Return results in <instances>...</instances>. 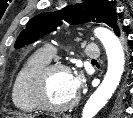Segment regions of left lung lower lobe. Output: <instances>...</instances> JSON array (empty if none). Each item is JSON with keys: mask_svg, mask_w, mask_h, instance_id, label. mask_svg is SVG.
Wrapping results in <instances>:
<instances>
[{"mask_svg": "<svg viewBox=\"0 0 133 118\" xmlns=\"http://www.w3.org/2000/svg\"><path fill=\"white\" fill-rule=\"evenodd\" d=\"M113 31L115 32V34H116L117 36H120V29H119L118 26H116V27L113 29Z\"/></svg>", "mask_w": 133, "mask_h": 118, "instance_id": "0a47b994", "label": "left lung lower lobe"}]
</instances>
